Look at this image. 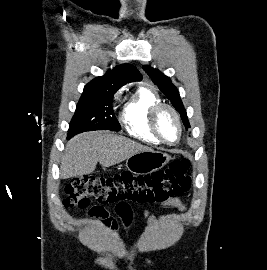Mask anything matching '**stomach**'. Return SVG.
Listing matches in <instances>:
<instances>
[{"mask_svg": "<svg viewBox=\"0 0 267 270\" xmlns=\"http://www.w3.org/2000/svg\"><path fill=\"white\" fill-rule=\"evenodd\" d=\"M170 156L161 151H142L126 160V168L134 174H149L165 166Z\"/></svg>", "mask_w": 267, "mask_h": 270, "instance_id": "obj_1", "label": "stomach"}]
</instances>
